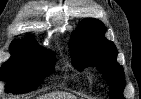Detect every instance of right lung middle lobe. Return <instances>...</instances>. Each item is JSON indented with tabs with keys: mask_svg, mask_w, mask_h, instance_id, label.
<instances>
[{
	"mask_svg": "<svg viewBox=\"0 0 141 99\" xmlns=\"http://www.w3.org/2000/svg\"><path fill=\"white\" fill-rule=\"evenodd\" d=\"M12 56L0 72L2 80L9 81L6 92L25 93L39 86L43 79L54 70L53 53L25 43H12Z\"/></svg>",
	"mask_w": 141,
	"mask_h": 99,
	"instance_id": "dd1d6c3e",
	"label": "right lung middle lobe"
}]
</instances>
